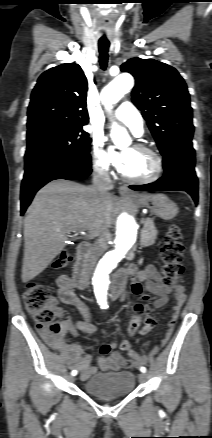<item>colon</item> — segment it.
Listing matches in <instances>:
<instances>
[{
  "mask_svg": "<svg viewBox=\"0 0 212 438\" xmlns=\"http://www.w3.org/2000/svg\"><path fill=\"white\" fill-rule=\"evenodd\" d=\"M184 246L180 228L172 224L169 226L161 250L160 259L162 262L161 271L166 283H178L182 280L184 267L182 264ZM71 255L62 251L53 261L52 268L60 270L71 262ZM23 299L27 311L33 317L39 327H47L56 336L64 332L63 326L55 322L54 298L49 286L39 283H30L24 293ZM149 314L146 303H137L133 308L128 322V333L134 335L140 324Z\"/></svg>",
  "mask_w": 212,
  "mask_h": 438,
  "instance_id": "5ec220e1",
  "label": "colon"
}]
</instances>
